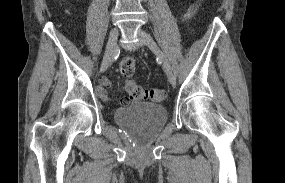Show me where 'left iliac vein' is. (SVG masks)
I'll return each instance as SVG.
<instances>
[{
    "instance_id": "1",
    "label": "left iliac vein",
    "mask_w": 285,
    "mask_h": 183,
    "mask_svg": "<svg viewBox=\"0 0 285 183\" xmlns=\"http://www.w3.org/2000/svg\"><path fill=\"white\" fill-rule=\"evenodd\" d=\"M138 37L139 39L147 46L149 47L155 55L159 58L160 62L162 63V66L165 70V73L167 75V78L172 86H175L176 84V77L172 71L171 65L164 55V53L161 51V49L158 47L157 43L154 41V39L145 32L142 29L138 30Z\"/></svg>"
}]
</instances>
